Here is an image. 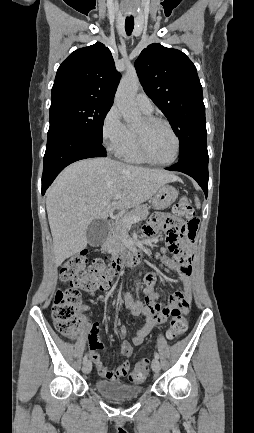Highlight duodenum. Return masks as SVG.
Returning <instances> with one entry per match:
<instances>
[{
  "label": "duodenum",
  "mask_w": 254,
  "mask_h": 433,
  "mask_svg": "<svg viewBox=\"0 0 254 433\" xmlns=\"http://www.w3.org/2000/svg\"><path fill=\"white\" fill-rule=\"evenodd\" d=\"M110 225V222L108 223ZM135 246H128L126 248H122L120 251L113 254V259L110 261L112 265V269L116 272H120L132 265L134 259Z\"/></svg>",
  "instance_id": "1"
}]
</instances>
